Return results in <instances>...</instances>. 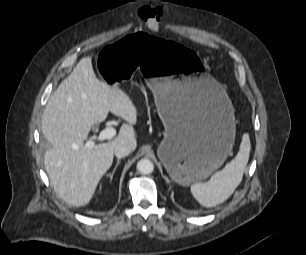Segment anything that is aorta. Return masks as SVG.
Segmentation results:
<instances>
[{
	"instance_id": "aorta-1",
	"label": "aorta",
	"mask_w": 306,
	"mask_h": 255,
	"mask_svg": "<svg viewBox=\"0 0 306 255\" xmlns=\"http://www.w3.org/2000/svg\"><path fill=\"white\" fill-rule=\"evenodd\" d=\"M136 168L139 173L147 175L153 172L154 165L149 159H141L138 161Z\"/></svg>"
}]
</instances>
